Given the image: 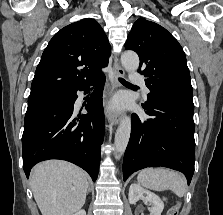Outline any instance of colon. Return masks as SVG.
<instances>
[{
  "mask_svg": "<svg viewBox=\"0 0 223 215\" xmlns=\"http://www.w3.org/2000/svg\"><path fill=\"white\" fill-rule=\"evenodd\" d=\"M178 212H179V204L175 205L174 207H172L167 215H178Z\"/></svg>",
  "mask_w": 223,
  "mask_h": 215,
  "instance_id": "1",
  "label": "colon"
}]
</instances>
